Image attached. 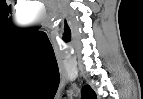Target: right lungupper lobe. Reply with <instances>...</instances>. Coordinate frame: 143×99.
<instances>
[{
    "label": "right lung upper lobe",
    "mask_w": 143,
    "mask_h": 99,
    "mask_svg": "<svg viewBox=\"0 0 143 99\" xmlns=\"http://www.w3.org/2000/svg\"><path fill=\"white\" fill-rule=\"evenodd\" d=\"M82 98L83 99H96V94L93 89L89 85H85L82 90Z\"/></svg>",
    "instance_id": "right-lung-upper-lobe-1"
}]
</instances>
